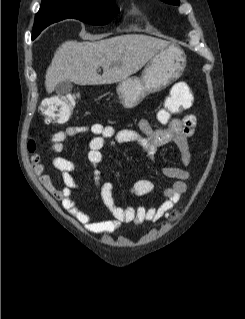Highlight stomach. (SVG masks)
Returning a JSON list of instances; mask_svg holds the SVG:
<instances>
[{
    "label": "stomach",
    "mask_w": 245,
    "mask_h": 319,
    "mask_svg": "<svg viewBox=\"0 0 245 319\" xmlns=\"http://www.w3.org/2000/svg\"><path fill=\"white\" fill-rule=\"evenodd\" d=\"M186 66V55L177 45H168L156 53L147 63L140 77H128L120 81L116 91L125 108H134L145 97L166 88L177 80Z\"/></svg>",
    "instance_id": "0dacf381"
}]
</instances>
